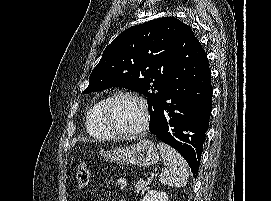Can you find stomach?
<instances>
[{
    "mask_svg": "<svg viewBox=\"0 0 271 201\" xmlns=\"http://www.w3.org/2000/svg\"><path fill=\"white\" fill-rule=\"evenodd\" d=\"M101 157L111 163L149 167L158 162L159 152L152 141L142 140L133 145L103 150Z\"/></svg>",
    "mask_w": 271,
    "mask_h": 201,
    "instance_id": "0dacf381",
    "label": "stomach"
}]
</instances>
